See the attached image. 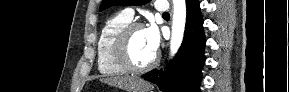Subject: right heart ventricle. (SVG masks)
Segmentation results:
<instances>
[{
    "label": "right heart ventricle",
    "mask_w": 289,
    "mask_h": 92,
    "mask_svg": "<svg viewBox=\"0 0 289 92\" xmlns=\"http://www.w3.org/2000/svg\"><path fill=\"white\" fill-rule=\"evenodd\" d=\"M130 22L124 13H118L104 23L97 42V65L101 74L115 76L127 72L114 59L113 43L121 29Z\"/></svg>",
    "instance_id": "obj_1"
}]
</instances>
